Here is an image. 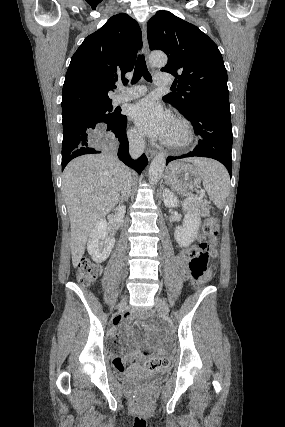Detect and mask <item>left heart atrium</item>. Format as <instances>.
<instances>
[{"label": "left heart atrium", "mask_w": 285, "mask_h": 427, "mask_svg": "<svg viewBox=\"0 0 285 427\" xmlns=\"http://www.w3.org/2000/svg\"><path fill=\"white\" fill-rule=\"evenodd\" d=\"M130 118L138 128L152 137L167 140L174 120L171 113L165 110L153 97H146L130 108Z\"/></svg>", "instance_id": "1"}]
</instances>
